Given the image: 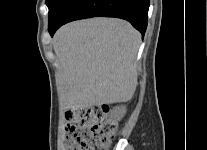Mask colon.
<instances>
[{
	"label": "colon",
	"instance_id": "1",
	"mask_svg": "<svg viewBox=\"0 0 207 150\" xmlns=\"http://www.w3.org/2000/svg\"><path fill=\"white\" fill-rule=\"evenodd\" d=\"M66 129L72 133L66 150H107L117 130L108 110L89 108L66 114Z\"/></svg>",
	"mask_w": 207,
	"mask_h": 150
}]
</instances>
